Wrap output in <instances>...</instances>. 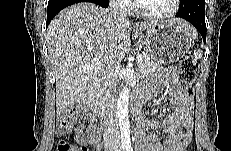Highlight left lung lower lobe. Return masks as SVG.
Segmentation results:
<instances>
[{
  "mask_svg": "<svg viewBox=\"0 0 231 151\" xmlns=\"http://www.w3.org/2000/svg\"><path fill=\"white\" fill-rule=\"evenodd\" d=\"M175 17L186 19L193 24L206 42L205 0H187Z\"/></svg>",
  "mask_w": 231,
  "mask_h": 151,
  "instance_id": "1",
  "label": "left lung lower lobe"
}]
</instances>
